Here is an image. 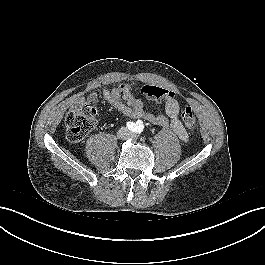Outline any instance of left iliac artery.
I'll return each instance as SVG.
<instances>
[{
	"instance_id": "left-iliac-artery-1",
	"label": "left iliac artery",
	"mask_w": 265,
	"mask_h": 265,
	"mask_svg": "<svg viewBox=\"0 0 265 265\" xmlns=\"http://www.w3.org/2000/svg\"><path fill=\"white\" fill-rule=\"evenodd\" d=\"M136 124H137L136 132L141 133V132L143 131V129H144L143 122L140 121V120H138V121L136 122Z\"/></svg>"
}]
</instances>
